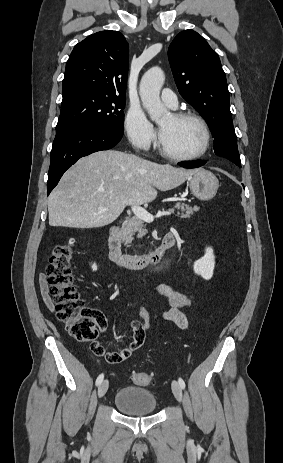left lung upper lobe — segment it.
<instances>
[{"label": "left lung upper lobe", "instance_id": "5c2ea615", "mask_svg": "<svg viewBox=\"0 0 283 463\" xmlns=\"http://www.w3.org/2000/svg\"><path fill=\"white\" fill-rule=\"evenodd\" d=\"M168 58L180 94L208 122L215 154L241 167L227 80L218 54L197 32L184 30L170 44Z\"/></svg>", "mask_w": 283, "mask_h": 463}]
</instances>
